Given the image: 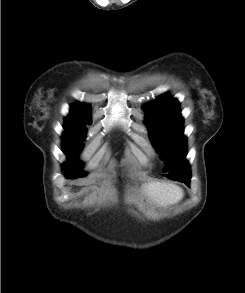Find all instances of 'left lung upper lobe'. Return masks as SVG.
<instances>
[{
	"label": "left lung upper lobe",
	"instance_id": "5c2ea615",
	"mask_svg": "<svg viewBox=\"0 0 245 293\" xmlns=\"http://www.w3.org/2000/svg\"><path fill=\"white\" fill-rule=\"evenodd\" d=\"M179 110L176 99L162 95L146 106V124L153 146L167 160V177L181 181L180 178L191 175L185 160L187 139L183 135V118Z\"/></svg>",
	"mask_w": 245,
	"mask_h": 293
}]
</instances>
